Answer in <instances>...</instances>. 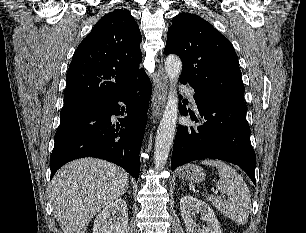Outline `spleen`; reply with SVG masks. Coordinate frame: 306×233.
<instances>
[{"instance_id": "1", "label": "spleen", "mask_w": 306, "mask_h": 233, "mask_svg": "<svg viewBox=\"0 0 306 233\" xmlns=\"http://www.w3.org/2000/svg\"><path fill=\"white\" fill-rule=\"evenodd\" d=\"M201 163L218 169L220 179L216 187L228 196V200L219 196L207 195V198L221 214L239 225L246 224L251 210V195L241 175L220 160H203Z\"/></svg>"}]
</instances>
